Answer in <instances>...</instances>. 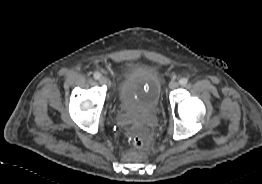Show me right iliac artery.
Masks as SVG:
<instances>
[{
  "instance_id": "obj_1",
  "label": "right iliac artery",
  "mask_w": 262,
  "mask_h": 184,
  "mask_svg": "<svg viewBox=\"0 0 262 184\" xmlns=\"http://www.w3.org/2000/svg\"><path fill=\"white\" fill-rule=\"evenodd\" d=\"M93 76H94V78H95V79H97V80H98V79H100V77H101V74H100V73H98V72H95Z\"/></svg>"
}]
</instances>
